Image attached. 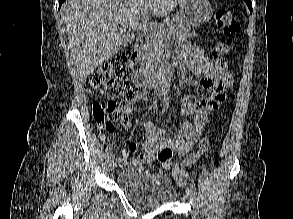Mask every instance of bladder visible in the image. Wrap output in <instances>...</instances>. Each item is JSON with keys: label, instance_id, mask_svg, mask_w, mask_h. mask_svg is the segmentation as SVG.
<instances>
[{"label": "bladder", "instance_id": "bladder-1", "mask_svg": "<svg viewBox=\"0 0 293 219\" xmlns=\"http://www.w3.org/2000/svg\"><path fill=\"white\" fill-rule=\"evenodd\" d=\"M116 182L133 203L143 207L158 208L174 202L178 196L171 179L153 166L125 168L117 174Z\"/></svg>", "mask_w": 293, "mask_h": 219}]
</instances>
